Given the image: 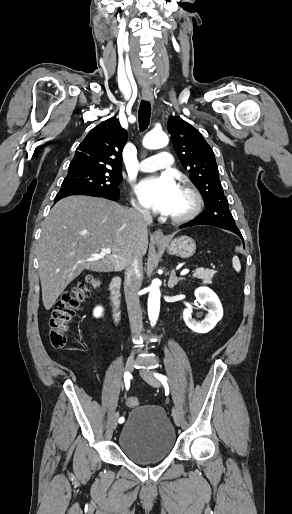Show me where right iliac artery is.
Masks as SVG:
<instances>
[{
    "instance_id": "obj_1",
    "label": "right iliac artery",
    "mask_w": 292,
    "mask_h": 514,
    "mask_svg": "<svg viewBox=\"0 0 292 514\" xmlns=\"http://www.w3.org/2000/svg\"><path fill=\"white\" fill-rule=\"evenodd\" d=\"M130 378H131V374L129 372H125V374H124V382H125L126 390H128L129 387H130ZM124 420H125L124 417H120L118 422L119 423H123Z\"/></svg>"
}]
</instances>
